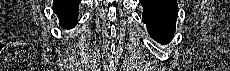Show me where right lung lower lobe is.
I'll use <instances>...</instances> for the list:
<instances>
[{
	"label": "right lung lower lobe",
	"mask_w": 230,
	"mask_h": 71,
	"mask_svg": "<svg viewBox=\"0 0 230 71\" xmlns=\"http://www.w3.org/2000/svg\"><path fill=\"white\" fill-rule=\"evenodd\" d=\"M81 0H54L53 10L57 14L62 27L68 29L75 26L78 17V5Z\"/></svg>",
	"instance_id": "obj_1"
}]
</instances>
